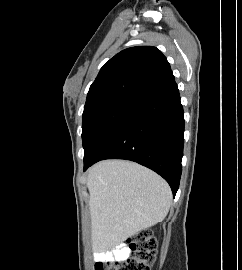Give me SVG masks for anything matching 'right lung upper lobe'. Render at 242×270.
<instances>
[{"label": "right lung upper lobe", "mask_w": 242, "mask_h": 270, "mask_svg": "<svg viewBox=\"0 0 242 270\" xmlns=\"http://www.w3.org/2000/svg\"><path fill=\"white\" fill-rule=\"evenodd\" d=\"M174 82L170 65L159 49L131 47L103 65L90 86L84 111L115 101L138 104Z\"/></svg>", "instance_id": "1"}]
</instances>
